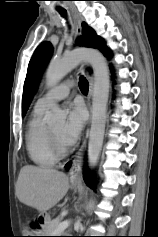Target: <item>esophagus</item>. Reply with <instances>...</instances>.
I'll return each instance as SVG.
<instances>
[{
	"mask_svg": "<svg viewBox=\"0 0 158 237\" xmlns=\"http://www.w3.org/2000/svg\"><path fill=\"white\" fill-rule=\"evenodd\" d=\"M71 11H72V15L75 21V33L77 36H80L82 33V25H81L82 21L73 9ZM93 83H94L93 77L92 75H90L89 76V93H88V105H89L90 112H91V98L93 95ZM87 135H88V130L79 151L76 153V156L72 161V165L68 173L71 181H75L79 179L81 176L83 155L86 148Z\"/></svg>",
	"mask_w": 158,
	"mask_h": 237,
	"instance_id": "34e87169",
	"label": "esophagus"
}]
</instances>
